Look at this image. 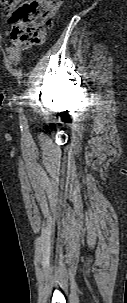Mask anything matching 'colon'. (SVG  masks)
I'll return each instance as SVG.
<instances>
[{
    "instance_id": "colon-1",
    "label": "colon",
    "mask_w": 127,
    "mask_h": 303,
    "mask_svg": "<svg viewBox=\"0 0 127 303\" xmlns=\"http://www.w3.org/2000/svg\"><path fill=\"white\" fill-rule=\"evenodd\" d=\"M15 3L16 0H0L5 7ZM62 3L63 0H25L19 5L10 17V36L14 46L23 49L41 44Z\"/></svg>"
}]
</instances>
